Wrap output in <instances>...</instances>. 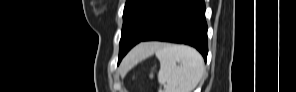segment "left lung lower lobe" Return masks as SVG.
Wrapping results in <instances>:
<instances>
[{"mask_svg":"<svg viewBox=\"0 0 296 92\" xmlns=\"http://www.w3.org/2000/svg\"><path fill=\"white\" fill-rule=\"evenodd\" d=\"M151 40L193 46L206 60L208 46L204 0H170L155 27L142 41Z\"/></svg>","mask_w":296,"mask_h":92,"instance_id":"left-lung-lower-lobe-1","label":"left lung lower lobe"}]
</instances>
